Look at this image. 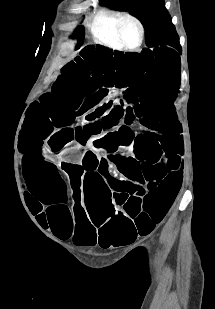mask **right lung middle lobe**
Here are the masks:
<instances>
[{
  "label": "right lung middle lobe",
  "instance_id": "obj_1",
  "mask_svg": "<svg viewBox=\"0 0 215 309\" xmlns=\"http://www.w3.org/2000/svg\"><path fill=\"white\" fill-rule=\"evenodd\" d=\"M75 34L79 36V41H78V44H77V47H76L78 49L80 47V45L83 43V28L78 27Z\"/></svg>",
  "mask_w": 215,
  "mask_h": 309
}]
</instances>
